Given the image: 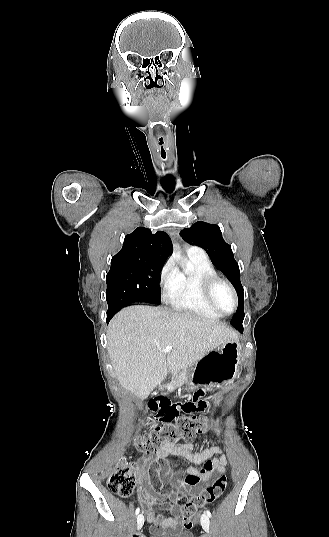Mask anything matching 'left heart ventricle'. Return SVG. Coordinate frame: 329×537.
I'll return each instance as SVG.
<instances>
[{
  "label": "left heart ventricle",
  "instance_id": "left-heart-ventricle-1",
  "mask_svg": "<svg viewBox=\"0 0 329 537\" xmlns=\"http://www.w3.org/2000/svg\"><path fill=\"white\" fill-rule=\"evenodd\" d=\"M214 301L224 312H231L234 308V298L232 293L223 285H219L214 291Z\"/></svg>",
  "mask_w": 329,
  "mask_h": 537
}]
</instances>
